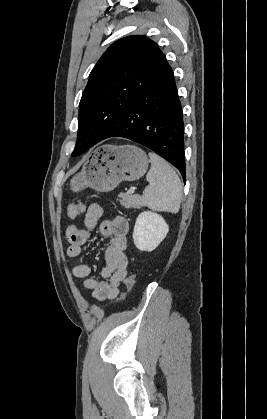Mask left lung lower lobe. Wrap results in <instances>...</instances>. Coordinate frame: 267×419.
<instances>
[{"instance_id": "1", "label": "left lung lower lobe", "mask_w": 267, "mask_h": 419, "mask_svg": "<svg viewBox=\"0 0 267 419\" xmlns=\"http://www.w3.org/2000/svg\"><path fill=\"white\" fill-rule=\"evenodd\" d=\"M110 137H124L148 147L173 164L185 181L182 108L167 62L123 113L103 122L90 147Z\"/></svg>"}]
</instances>
